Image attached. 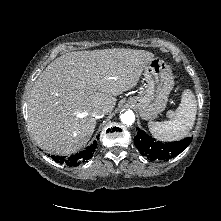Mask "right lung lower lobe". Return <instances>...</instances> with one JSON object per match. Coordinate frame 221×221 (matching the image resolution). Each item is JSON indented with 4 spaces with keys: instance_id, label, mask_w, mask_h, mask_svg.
<instances>
[{
    "instance_id": "obj_1",
    "label": "right lung lower lobe",
    "mask_w": 221,
    "mask_h": 221,
    "mask_svg": "<svg viewBox=\"0 0 221 221\" xmlns=\"http://www.w3.org/2000/svg\"><path fill=\"white\" fill-rule=\"evenodd\" d=\"M97 148V141H94L90 146H88L85 150L71 155L70 157H62V156H53L52 158L61 164H65L67 166H78L79 164L83 163L84 161L88 160L92 157Z\"/></svg>"
}]
</instances>
